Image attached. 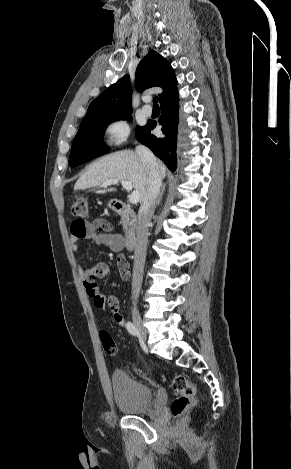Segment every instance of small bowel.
<instances>
[{
    "label": "small bowel",
    "instance_id": "obj_1",
    "mask_svg": "<svg viewBox=\"0 0 291 469\" xmlns=\"http://www.w3.org/2000/svg\"><path fill=\"white\" fill-rule=\"evenodd\" d=\"M83 239L92 240L98 245L107 246L114 252H120L124 247V238L122 235L114 232L110 224L100 218L95 219L93 222L82 220H75L72 222L70 240L73 252L77 253L79 251L80 248L78 242ZM79 274L87 295L90 298L100 296L104 299L107 302L106 306L109 307L113 313L115 323L124 327L126 323L124 316L120 312L118 299L112 295L106 296L101 294L98 289V281L108 277L110 274L108 264L100 262L90 268L79 266Z\"/></svg>",
    "mask_w": 291,
    "mask_h": 469
}]
</instances>
